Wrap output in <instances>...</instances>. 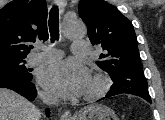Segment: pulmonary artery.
<instances>
[{
  "label": "pulmonary artery",
  "instance_id": "obj_1",
  "mask_svg": "<svg viewBox=\"0 0 165 120\" xmlns=\"http://www.w3.org/2000/svg\"><path fill=\"white\" fill-rule=\"evenodd\" d=\"M72 51L77 55H87L89 53V45L85 41H75L72 45ZM61 55L62 53L58 49L43 47L42 51L29 57L28 63L30 65L49 63L58 59Z\"/></svg>",
  "mask_w": 165,
  "mask_h": 120
}]
</instances>
